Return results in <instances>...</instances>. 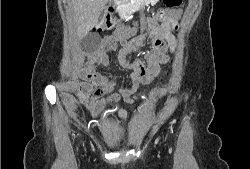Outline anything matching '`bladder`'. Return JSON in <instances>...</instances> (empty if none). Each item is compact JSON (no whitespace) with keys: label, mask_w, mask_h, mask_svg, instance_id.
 <instances>
[{"label":"bladder","mask_w":250,"mask_h":169,"mask_svg":"<svg viewBox=\"0 0 250 169\" xmlns=\"http://www.w3.org/2000/svg\"><path fill=\"white\" fill-rule=\"evenodd\" d=\"M105 139L110 141L113 146H124L130 143V139L122 138L118 135L106 134Z\"/></svg>","instance_id":"bladder-1"}]
</instances>
